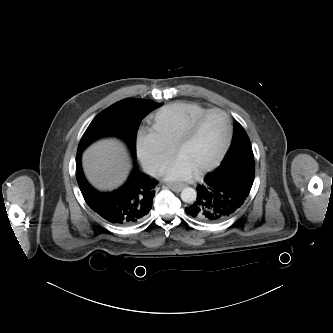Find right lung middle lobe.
<instances>
[{
	"instance_id": "1",
	"label": "right lung middle lobe",
	"mask_w": 333,
	"mask_h": 333,
	"mask_svg": "<svg viewBox=\"0 0 333 333\" xmlns=\"http://www.w3.org/2000/svg\"><path fill=\"white\" fill-rule=\"evenodd\" d=\"M150 100L127 98L99 113L82 136L78 152H82L96 139L114 135L123 139L132 155L135 154V136L142 119L152 110L160 107Z\"/></svg>"
}]
</instances>
